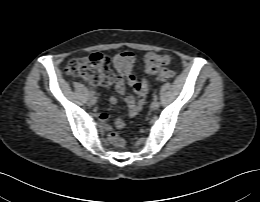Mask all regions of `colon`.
<instances>
[{"label":"colon","mask_w":260,"mask_h":202,"mask_svg":"<svg viewBox=\"0 0 260 202\" xmlns=\"http://www.w3.org/2000/svg\"><path fill=\"white\" fill-rule=\"evenodd\" d=\"M168 60L165 54L150 52L144 58V65L148 72L156 74V80L167 81L174 77V72L165 68ZM133 63L134 56L129 51H119L112 55L94 53L70 60L65 70L69 76L82 78L92 85H110L118 75L128 77ZM109 138L118 148L126 144L117 133H111Z\"/></svg>","instance_id":"colon-1"}]
</instances>
